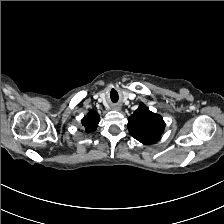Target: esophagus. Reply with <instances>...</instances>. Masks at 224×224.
<instances>
[{"mask_svg":"<svg viewBox=\"0 0 224 224\" xmlns=\"http://www.w3.org/2000/svg\"><path fill=\"white\" fill-rule=\"evenodd\" d=\"M113 110L119 111L120 110V107L119 106H113Z\"/></svg>","mask_w":224,"mask_h":224,"instance_id":"1","label":"esophagus"}]
</instances>
